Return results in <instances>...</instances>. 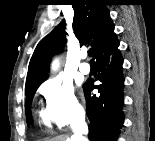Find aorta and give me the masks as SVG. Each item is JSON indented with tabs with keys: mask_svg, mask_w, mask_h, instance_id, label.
Instances as JSON below:
<instances>
[{
	"mask_svg": "<svg viewBox=\"0 0 155 141\" xmlns=\"http://www.w3.org/2000/svg\"><path fill=\"white\" fill-rule=\"evenodd\" d=\"M58 66V60H54L52 63V69L55 70Z\"/></svg>",
	"mask_w": 155,
	"mask_h": 141,
	"instance_id": "obj_1",
	"label": "aorta"
}]
</instances>
